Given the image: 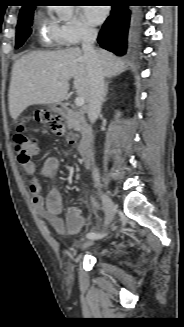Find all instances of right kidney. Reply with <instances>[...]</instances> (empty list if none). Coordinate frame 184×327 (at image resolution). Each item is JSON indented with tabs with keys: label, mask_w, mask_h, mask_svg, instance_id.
Returning <instances> with one entry per match:
<instances>
[{
	"label": "right kidney",
	"mask_w": 184,
	"mask_h": 327,
	"mask_svg": "<svg viewBox=\"0 0 184 327\" xmlns=\"http://www.w3.org/2000/svg\"><path fill=\"white\" fill-rule=\"evenodd\" d=\"M117 116H120V113L119 112L117 113Z\"/></svg>",
	"instance_id": "ca27d5eb"
}]
</instances>
